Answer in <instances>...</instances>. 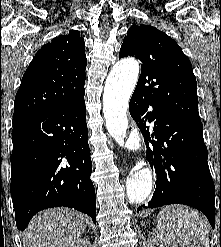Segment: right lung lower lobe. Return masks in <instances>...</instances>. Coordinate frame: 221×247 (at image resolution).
Returning <instances> with one entry per match:
<instances>
[{"instance_id":"1","label":"right lung lower lobe","mask_w":221,"mask_h":247,"mask_svg":"<svg viewBox=\"0 0 221 247\" xmlns=\"http://www.w3.org/2000/svg\"><path fill=\"white\" fill-rule=\"evenodd\" d=\"M87 137L84 96L59 108L13 118L10 191L19 230L38 211L57 206L86 213L96 223Z\"/></svg>"}]
</instances>
